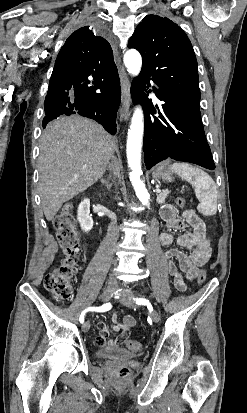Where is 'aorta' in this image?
<instances>
[{
    "mask_svg": "<svg viewBox=\"0 0 247 413\" xmlns=\"http://www.w3.org/2000/svg\"><path fill=\"white\" fill-rule=\"evenodd\" d=\"M124 64L129 73L133 76H137L142 67V58L140 53L134 49L128 50L124 55ZM143 118L144 115L142 109L137 107L131 119L126 152L128 165L131 169L130 181L135 190L136 196L143 205H148L150 196L143 180L141 179V150L144 132Z\"/></svg>",
    "mask_w": 247,
    "mask_h": 413,
    "instance_id": "aorta-1",
    "label": "aorta"
}]
</instances>
